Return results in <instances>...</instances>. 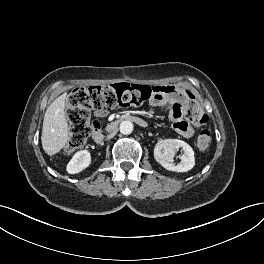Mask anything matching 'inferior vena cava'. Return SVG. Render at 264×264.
<instances>
[{
    "label": "inferior vena cava",
    "mask_w": 264,
    "mask_h": 264,
    "mask_svg": "<svg viewBox=\"0 0 264 264\" xmlns=\"http://www.w3.org/2000/svg\"><path fill=\"white\" fill-rule=\"evenodd\" d=\"M119 132L117 130L111 132L109 135H107V139L113 138L115 135H117Z\"/></svg>",
    "instance_id": "inferior-vena-cava-1"
}]
</instances>
